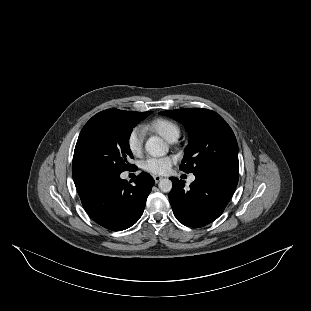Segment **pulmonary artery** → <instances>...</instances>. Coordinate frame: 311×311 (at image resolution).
I'll list each match as a JSON object with an SVG mask.
<instances>
[{
  "label": "pulmonary artery",
  "instance_id": "pulmonary-artery-1",
  "mask_svg": "<svg viewBox=\"0 0 311 311\" xmlns=\"http://www.w3.org/2000/svg\"><path fill=\"white\" fill-rule=\"evenodd\" d=\"M194 180H195V177L191 176L190 179H189V182H193Z\"/></svg>",
  "mask_w": 311,
  "mask_h": 311
}]
</instances>
